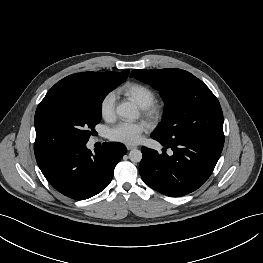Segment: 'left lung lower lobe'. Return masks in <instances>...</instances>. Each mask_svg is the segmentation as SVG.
<instances>
[{
    "label": "left lung lower lobe",
    "mask_w": 263,
    "mask_h": 263,
    "mask_svg": "<svg viewBox=\"0 0 263 263\" xmlns=\"http://www.w3.org/2000/svg\"><path fill=\"white\" fill-rule=\"evenodd\" d=\"M152 138L173 155L158 154L157 151L142 147L143 158L139 165L143 181L156 191L170 197L189 194L209 178L221 155L224 135L203 137H178L164 141Z\"/></svg>",
    "instance_id": "1"
}]
</instances>
